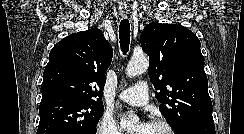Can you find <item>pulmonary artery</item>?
<instances>
[{
    "instance_id": "obj_1",
    "label": "pulmonary artery",
    "mask_w": 244,
    "mask_h": 134,
    "mask_svg": "<svg viewBox=\"0 0 244 134\" xmlns=\"http://www.w3.org/2000/svg\"><path fill=\"white\" fill-rule=\"evenodd\" d=\"M119 99L131 105H144L148 102V86L144 81L122 91Z\"/></svg>"
}]
</instances>
